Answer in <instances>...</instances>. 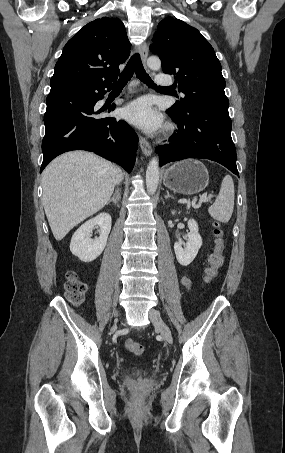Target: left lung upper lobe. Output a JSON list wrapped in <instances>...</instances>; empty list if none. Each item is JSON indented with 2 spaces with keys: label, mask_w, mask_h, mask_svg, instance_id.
<instances>
[{
  "label": "left lung upper lobe",
  "mask_w": 285,
  "mask_h": 453,
  "mask_svg": "<svg viewBox=\"0 0 285 453\" xmlns=\"http://www.w3.org/2000/svg\"><path fill=\"white\" fill-rule=\"evenodd\" d=\"M152 41L150 50L160 57L163 71L175 75L178 90L185 95L170 109L186 112L203 107L228 111L221 64L196 28L167 17L158 24Z\"/></svg>",
  "instance_id": "5c2ea615"
}]
</instances>
